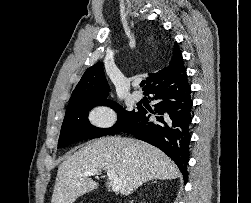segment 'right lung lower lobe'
<instances>
[{"label": "right lung lower lobe", "mask_w": 251, "mask_h": 203, "mask_svg": "<svg viewBox=\"0 0 251 203\" xmlns=\"http://www.w3.org/2000/svg\"><path fill=\"white\" fill-rule=\"evenodd\" d=\"M145 94L153 95L154 111L138 109L136 116L119 132L132 134L161 149L176 163L186 183L193 106L186 69L180 67ZM152 115L154 119H150Z\"/></svg>", "instance_id": "98d812e1"}]
</instances>
